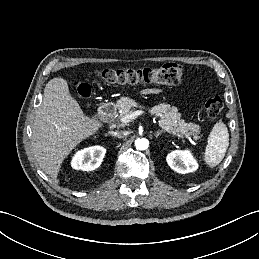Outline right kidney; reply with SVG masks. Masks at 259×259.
<instances>
[{
  "mask_svg": "<svg viewBox=\"0 0 259 259\" xmlns=\"http://www.w3.org/2000/svg\"><path fill=\"white\" fill-rule=\"evenodd\" d=\"M106 149L101 146H92L78 151L71 161L76 170L91 171L98 168L105 156Z\"/></svg>",
  "mask_w": 259,
  "mask_h": 259,
  "instance_id": "1",
  "label": "right kidney"
}]
</instances>
